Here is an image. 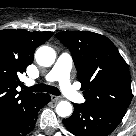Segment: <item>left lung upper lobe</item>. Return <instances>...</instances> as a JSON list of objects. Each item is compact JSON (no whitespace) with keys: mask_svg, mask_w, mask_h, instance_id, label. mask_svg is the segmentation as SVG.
I'll list each match as a JSON object with an SVG mask.
<instances>
[{"mask_svg":"<svg viewBox=\"0 0 136 136\" xmlns=\"http://www.w3.org/2000/svg\"><path fill=\"white\" fill-rule=\"evenodd\" d=\"M56 37L71 51L85 103L125 113L132 96L131 79L115 45L93 32L65 31Z\"/></svg>","mask_w":136,"mask_h":136,"instance_id":"1","label":"left lung upper lobe"}]
</instances>
